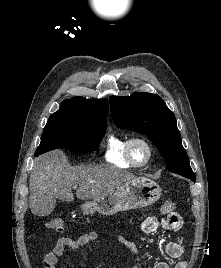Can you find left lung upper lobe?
<instances>
[{"label":"left lung upper lobe","instance_id":"1","mask_svg":"<svg viewBox=\"0 0 221 268\" xmlns=\"http://www.w3.org/2000/svg\"><path fill=\"white\" fill-rule=\"evenodd\" d=\"M110 109L118 127L149 137L165 159L169 171L182 176L193 174L176 118L159 96L145 92L111 96Z\"/></svg>","mask_w":221,"mask_h":268}]
</instances>
